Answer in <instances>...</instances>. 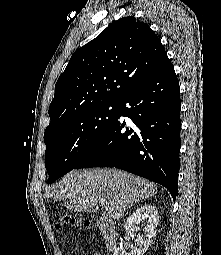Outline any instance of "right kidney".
Segmentation results:
<instances>
[{
    "instance_id": "ca27d5eb",
    "label": "right kidney",
    "mask_w": 221,
    "mask_h": 255,
    "mask_svg": "<svg viewBox=\"0 0 221 255\" xmlns=\"http://www.w3.org/2000/svg\"><path fill=\"white\" fill-rule=\"evenodd\" d=\"M142 222L144 234L137 235L135 246L132 247L130 253L126 252L123 247L114 250L113 255H144L148 250L151 241L156 236V227L158 224L157 209L151 204H144L136 209L126 220L124 225L127 234H134L138 230V224Z\"/></svg>"
}]
</instances>
